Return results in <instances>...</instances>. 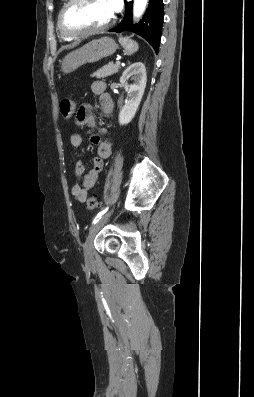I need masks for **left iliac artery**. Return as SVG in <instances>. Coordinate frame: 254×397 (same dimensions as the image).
Returning <instances> with one entry per match:
<instances>
[{
    "mask_svg": "<svg viewBox=\"0 0 254 397\" xmlns=\"http://www.w3.org/2000/svg\"><path fill=\"white\" fill-rule=\"evenodd\" d=\"M108 210V208L104 209L103 211L99 212L96 217L93 220L92 224H96L101 218L102 216L106 213V211Z\"/></svg>",
    "mask_w": 254,
    "mask_h": 397,
    "instance_id": "obj_1",
    "label": "left iliac artery"
}]
</instances>
